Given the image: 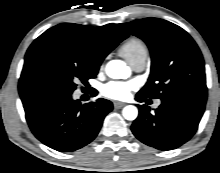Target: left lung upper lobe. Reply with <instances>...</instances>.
Returning <instances> with one entry per match:
<instances>
[{"label":"left lung upper lobe","instance_id":"obj_1","mask_svg":"<svg viewBox=\"0 0 220 173\" xmlns=\"http://www.w3.org/2000/svg\"><path fill=\"white\" fill-rule=\"evenodd\" d=\"M120 25L130 34L141 38L151 52V73L138 95L206 103L203 57L185 30L158 18L139 19Z\"/></svg>","mask_w":220,"mask_h":173}]
</instances>
